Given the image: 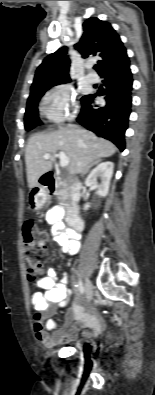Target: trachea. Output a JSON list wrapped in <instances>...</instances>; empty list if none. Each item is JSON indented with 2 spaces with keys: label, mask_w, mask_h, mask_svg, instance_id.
Listing matches in <instances>:
<instances>
[{
  "label": "trachea",
  "mask_w": 155,
  "mask_h": 395,
  "mask_svg": "<svg viewBox=\"0 0 155 395\" xmlns=\"http://www.w3.org/2000/svg\"><path fill=\"white\" fill-rule=\"evenodd\" d=\"M96 68H97V65L94 66V69H96Z\"/></svg>",
  "instance_id": "1"
}]
</instances>
